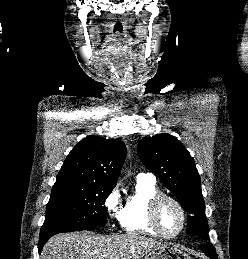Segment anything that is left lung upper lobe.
<instances>
[{
	"mask_svg": "<svg viewBox=\"0 0 248 259\" xmlns=\"http://www.w3.org/2000/svg\"><path fill=\"white\" fill-rule=\"evenodd\" d=\"M138 155L189 213L187 233L209 239L200 176L193 158L176 137L159 134L138 144Z\"/></svg>",
	"mask_w": 248,
	"mask_h": 259,
	"instance_id": "1",
	"label": "left lung upper lobe"
}]
</instances>
